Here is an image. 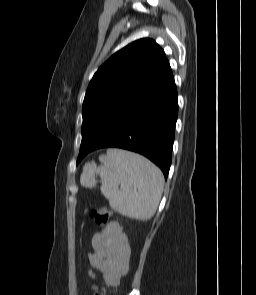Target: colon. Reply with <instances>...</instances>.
Wrapping results in <instances>:
<instances>
[{"mask_svg": "<svg viewBox=\"0 0 256 295\" xmlns=\"http://www.w3.org/2000/svg\"><path fill=\"white\" fill-rule=\"evenodd\" d=\"M90 217L93 220L94 224L98 227L105 225L110 218V214L106 208L99 207L92 209L90 211ZM95 295H106V290L102 289L100 292H97Z\"/></svg>", "mask_w": 256, "mask_h": 295, "instance_id": "colon-1", "label": "colon"}]
</instances>
